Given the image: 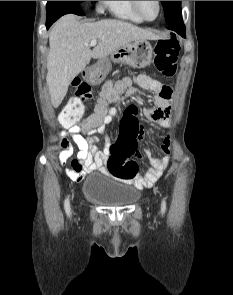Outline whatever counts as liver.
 <instances>
[{"instance_id": "obj_1", "label": "liver", "mask_w": 233, "mask_h": 295, "mask_svg": "<svg viewBox=\"0 0 233 295\" xmlns=\"http://www.w3.org/2000/svg\"><path fill=\"white\" fill-rule=\"evenodd\" d=\"M138 39L157 40L159 36L121 20H101L81 24L77 16H62L51 28L46 82L52 105L57 108L71 81L89 64L102 59ZM97 40L93 50L90 42Z\"/></svg>"}]
</instances>
